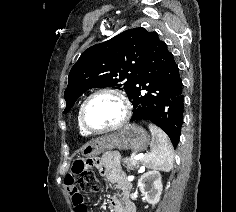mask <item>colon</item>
<instances>
[{
	"label": "colon",
	"instance_id": "obj_1",
	"mask_svg": "<svg viewBox=\"0 0 236 212\" xmlns=\"http://www.w3.org/2000/svg\"><path fill=\"white\" fill-rule=\"evenodd\" d=\"M78 175V186L82 191L94 192L99 189V181L92 161H78L74 165Z\"/></svg>",
	"mask_w": 236,
	"mask_h": 212
}]
</instances>
